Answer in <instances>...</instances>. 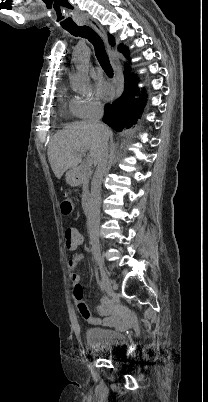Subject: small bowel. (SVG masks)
Here are the masks:
<instances>
[{
    "instance_id": "obj_1",
    "label": "small bowel",
    "mask_w": 208,
    "mask_h": 402,
    "mask_svg": "<svg viewBox=\"0 0 208 402\" xmlns=\"http://www.w3.org/2000/svg\"><path fill=\"white\" fill-rule=\"evenodd\" d=\"M80 243H84L86 238L84 236L79 235ZM81 256V255H79ZM76 253L72 254V257L68 258L67 264L71 265V267H75L77 264V260L79 259ZM71 281L73 283V296L75 299L84 298V290L80 283V276L77 273L71 274ZM98 312L100 316L91 317L89 316L87 319L94 323V327L96 329H118V330H130L135 327L133 322V318L138 316V311L136 309H131L129 311L128 317L125 309H122L121 306L115 304L114 302L105 299L101 305L98 306ZM121 320V321H120Z\"/></svg>"
}]
</instances>
